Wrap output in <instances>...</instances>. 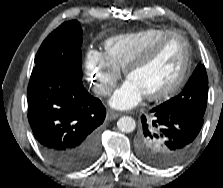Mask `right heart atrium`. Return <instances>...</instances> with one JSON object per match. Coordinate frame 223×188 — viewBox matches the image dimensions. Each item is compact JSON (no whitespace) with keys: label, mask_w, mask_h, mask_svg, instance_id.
<instances>
[{"label":"right heart atrium","mask_w":223,"mask_h":188,"mask_svg":"<svg viewBox=\"0 0 223 188\" xmlns=\"http://www.w3.org/2000/svg\"><path fill=\"white\" fill-rule=\"evenodd\" d=\"M85 74L94 93L106 96L114 89L120 77V69L105 53L90 50L85 60Z\"/></svg>","instance_id":"obj_1"}]
</instances>
